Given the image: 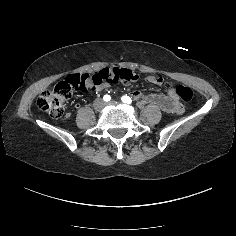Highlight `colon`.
Instances as JSON below:
<instances>
[{
    "mask_svg": "<svg viewBox=\"0 0 236 236\" xmlns=\"http://www.w3.org/2000/svg\"><path fill=\"white\" fill-rule=\"evenodd\" d=\"M138 75L126 68H105L96 74H71L58 82L54 88L42 92L37 99L38 107L51 117L59 119L64 116L68 100L77 91H95L104 85L129 84L135 82ZM178 97L188 102L193 91L183 85L176 88Z\"/></svg>",
    "mask_w": 236,
    "mask_h": 236,
    "instance_id": "obj_1",
    "label": "colon"
}]
</instances>
